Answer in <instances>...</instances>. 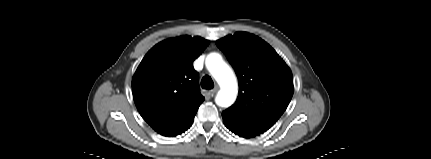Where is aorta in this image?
Segmentation results:
<instances>
[{
	"instance_id": "obj_1",
	"label": "aorta",
	"mask_w": 431,
	"mask_h": 159,
	"mask_svg": "<svg viewBox=\"0 0 431 159\" xmlns=\"http://www.w3.org/2000/svg\"><path fill=\"white\" fill-rule=\"evenodd\" d=\"M206 67L220 86L215 102L218 106L229 107L236 100L238 85L231 68L223 61L221 55L211 53L206 58Z\"/></svg>"
}]
</instances>
